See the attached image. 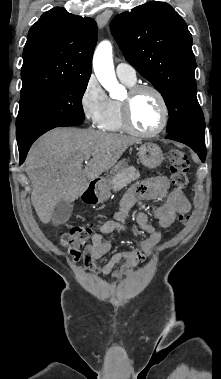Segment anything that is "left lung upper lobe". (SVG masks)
I'll return each mask as SVG.
<instances>
[{"label":"left lung upper lobe","mask_w":221,"mask_h":379,"mask_svg":"<svg viewBox=\"0 0 221 379\" xmlns=\"http://www.w3.org/2000/svg\"><path fill=\"white\" fill-rule=\"evenodd\" d=\"M110 27L126 60L163 96L167 132L205 140L192 36L182 17L169 4L152 1L117 15Z\"/></svg>","instance_id":"obj_1"}]
</instances>
